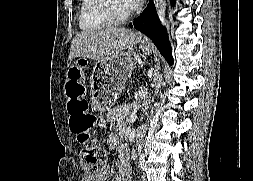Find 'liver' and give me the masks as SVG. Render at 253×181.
Here are the masks:
<instances>
[{
  "label": "liver",
  "instance_id": "liver-1",
  "mask_svg": "<svg viewBox=\"0 0 253 181\" xmlns=\"http://www.w3.org/2000/svg\"><path fill=\"white\" fill-rule=\"evenodd\" d=\"M138 39V34L121 27H98L78 33L71 42L68 66L75 58L105 61L118 57Z\"/></svg>",
  "mask_w": 253,
  "mask_h": 181
}]
</instances>
